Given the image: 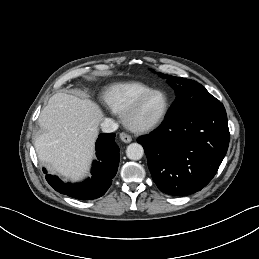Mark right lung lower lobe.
Segmentation results:
<instances>
[{
	"mask_svg": "<svg viewBox=\"0 0 259 259\" xmlns=\"http://www.w3.org/2000/svg\"><path fill=\"white\" fill-rule=\"evenodd\" d=\"M115 134L101 133L96 142V155L92 178L80 184H65L55 176L46 175L48 183L59 193L80 200L96 199L105 194L116 175L119 165V148L114 142ZM44 173H47L43 169Z\"/></svg>",
	"mask_w": 259,
	"mask_h": 259,
	"instance_id": "1",
	"label": "right lung lower lobe"
}]
</instances>
